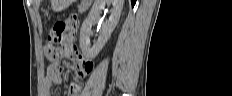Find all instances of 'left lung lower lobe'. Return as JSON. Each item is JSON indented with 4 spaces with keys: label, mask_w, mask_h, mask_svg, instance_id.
<instances>
[{
    "label": "left lung lower lobe",
    "mask_w": 232,
    "mask_h": 96,
    "mask_svg": "<svg viewBox=\"0 0 232 96\" xmlns=\"http://www.w3.org/2000/svg\"><path fill=\"white\" fill-rule=\"evenodd\" d=\"M135 2V0H131L132 6H134Z\"/></svg>",
    "instance_id": "0a47b994"
}]
</instances>
